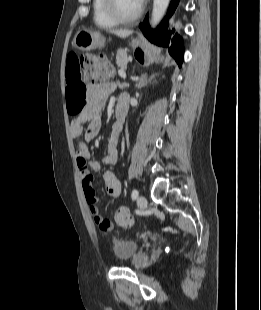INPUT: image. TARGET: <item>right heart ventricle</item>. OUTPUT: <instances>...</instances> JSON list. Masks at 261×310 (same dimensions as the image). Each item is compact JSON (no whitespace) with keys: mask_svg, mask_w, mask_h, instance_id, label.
I'll return each instance as SVG.
<instances>
[{"mask_svg":"<svg viewBox=\"0 0 261 310\" xmlns=\"http://www.w3.org/2000/svg\"><path fill=\"white\" fill-rule=\"evenodd\" d=\"M92 13H93V21L95 25L99 28L110 29L118 24L107 16V14L103 9L102 0H93Z\"/></svg>","mask_w":261,"mask_h":310,"instance_id":"obj_1","label":"right heart ventricle"}]
</instances>
